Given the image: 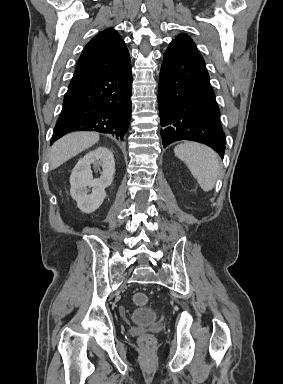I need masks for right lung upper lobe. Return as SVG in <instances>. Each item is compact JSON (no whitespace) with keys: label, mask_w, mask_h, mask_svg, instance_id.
I'll use <instances>...</instances> for the list:
<instances>
[{"label":"right lung upper lobe","mask_w":283,"mask_h":384,"mask_svg":"<svg viewBox=\"0 0 283 384\" xmlns=\"http://www.w3.org/2000/svg\"><path fill=\"white\" fill-rule=\"evenodd\" d=\"M128 64L130 56L125 42L116 30L108 28L85 46L71 82L118 71Z\"/></svg>","instance_id":"right-lung-upper-lobe-1"}]
</instances>
